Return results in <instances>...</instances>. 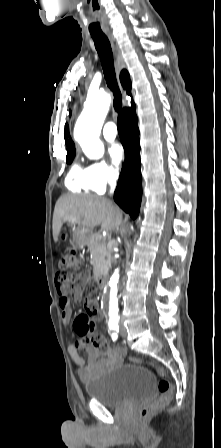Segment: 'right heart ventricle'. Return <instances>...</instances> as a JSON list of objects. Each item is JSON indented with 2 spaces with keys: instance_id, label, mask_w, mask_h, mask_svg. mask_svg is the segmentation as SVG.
Returning <instances> with one entry per match:
<instances>
[{
  "instance_id": "e07e8e85",
  "label": "right heart ventricle",
  "mask_w": 221,
  "mask_h": 448,
  "mask_svg": "<svg viewBox=\"0 0 221 448\" xmlns=\"http://www.w3.org/2000/svg\"><path fill=\"white\" fill-rule=\"evenodd\" d=\"M86 170H83L77 163H75L65 180L66 186L74 192H85L90 190L86 181Z\"/></svg>"
}]
</instances>
